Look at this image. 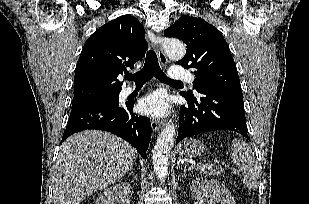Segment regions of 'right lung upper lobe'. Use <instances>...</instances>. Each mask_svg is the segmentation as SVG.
Listing matches in <instances>:
<instances>
[{"mask_svg":"<svg viewBox=\"0 0 309 204\" xmlns=\"http://www.w3.org/2000/svg\"><path fill=\"white\" fill-rule=\"evenodd\" d=\"M144 35V27L131 15L120 16L93 33L76 66L73 104L119 93L122 82L117 77L145 56Z\"/></svg>","mask_w":309,"mask_h":204,"instance_id":"right-lung-upper-lobe-1","label":"right lung upper lobe"}]
</instances>
